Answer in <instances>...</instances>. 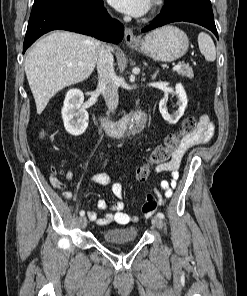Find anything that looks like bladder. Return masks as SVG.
<instances>
[{"label": "bladder", "instance_id": "31cf9c89", "mask_svg": "<svg viewBox=\"0 0 247 296\" xmlns=\"http://www.w3.org/2000/svg\"><path fill=\"white\" fill-rule=\"evenodd\" d=\"M138 227L125 226L107 229L102 233L103 241L106 243H125L137 239Z\"/></svg>", "mask_w": 247, "mask_h": 296}]
</instances>
